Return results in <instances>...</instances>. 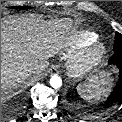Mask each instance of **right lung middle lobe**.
Segmentation results:
<instances>
[{
  "label": "right lung middle lobe",
  "instance_id": "obj_1",
  "mask_svg": "<svg viewBox=\"0 0 122 122\" xmlns=\"http://www.w3.org/2000/svg\"><path fill=\"white\" fill-rule=\"evenodd\" d=\"M11 8H14V9H30L29 6H16V7H11Z\"/></svg>",
  "mask_w": 122,
  "mask_h": 122
}]
</instances>
